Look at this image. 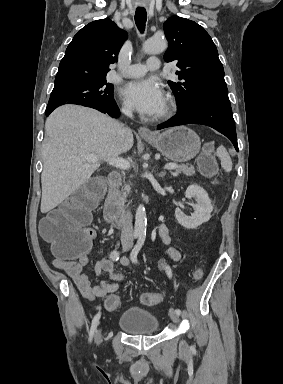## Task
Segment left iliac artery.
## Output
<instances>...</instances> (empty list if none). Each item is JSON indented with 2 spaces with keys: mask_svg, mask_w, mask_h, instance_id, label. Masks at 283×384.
<instances>
[{
  "mask_svg": "<svg viewBox=\"0 0 283 384\" xmlns=\"http://www.w3.org/2000/svg\"><path fill=\"white\" fill-rule=\"evenodd\" d=\"M144 241H145V238H144V237H140V238L138 239L137 244H136L135 247L133 248V250H132V252H131V254H130V259H131V261H132L133 263H137V262H138V260H137V255H138L139 251L141 250V248H142V246H143V244H144ZM165 271H166L167 276H168L169 278L172 277V271H171V268H170L168 265H165ZM175 311H176V313H177L178 315L181 314V310H180V309L177 308Z\"/></svg>",
  "mask_w": 283,
  "mask_h": 384,
  "instance_id": "1",
  "label": "left iliac artery"
}]
</instances>
